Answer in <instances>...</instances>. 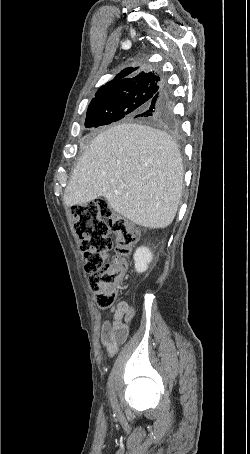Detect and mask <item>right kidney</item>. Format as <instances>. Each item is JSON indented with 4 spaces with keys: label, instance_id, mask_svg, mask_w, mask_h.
<instances>
[{
    "label": "right kidney",
    "instance_id": "right-kidney-1",
    "mask_svg": "<svg viewBox=\"0 0 250 454\" xmlns=\"http://www.w3.org/2000/svg\"><path fill=\"white\" fill-rule=\"evenodd\" d=\"M153 255L149 248L139 247L134 253L135 269L138 273L145 272L148 269V264L152 261Z\"/></svg>",
    "mask_w": 250,
    "mask_h": 454
}]
</instances>
